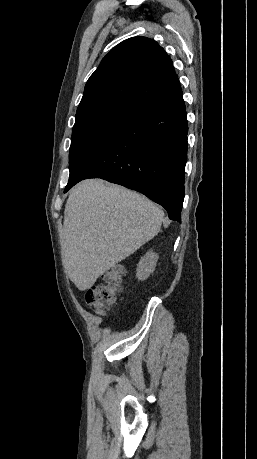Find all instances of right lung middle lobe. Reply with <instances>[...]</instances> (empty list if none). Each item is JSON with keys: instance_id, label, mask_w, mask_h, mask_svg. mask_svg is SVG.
Segmentation results:
<instances>
[{"instance_id": "obj_1", "label": "right lung middle lobe", "mask_w": 257, "mask_h": 459, "mask_svg": "<svg viewBox=\"0 0 257 459\" xmlns=\"http://www.w3.org/2000/svg\"><path fill=\"white\" fill-rule=\"evenodd\" d=\"M135 112L123 106H110L76 117L69 152L70 177L102 150Z\"/></svg>"}]
</instances>
